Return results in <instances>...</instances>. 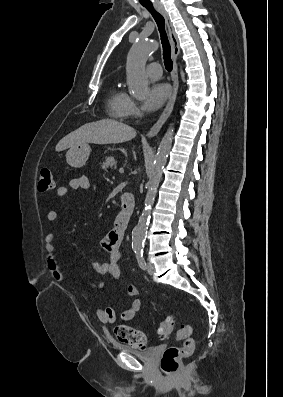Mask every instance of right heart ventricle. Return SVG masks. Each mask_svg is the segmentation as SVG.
<instances>
[{
    "label": "right heart ventricle",
    "mask_w": 283,
    "mask_h": 397,
    "mask_svg": "<svg viewBox=\"0 0 283 397\" xmlns=\"http://www.w3.org/2000/svg\"><path fill=\"white\" fill-rule=\"evenodd\" d=\"M129 96L123 92L118 86H113L107 97V111L109 115L116 119L124 117V107Z\"/></svg>",
    "instance_id": "1"
}]
</instances>
